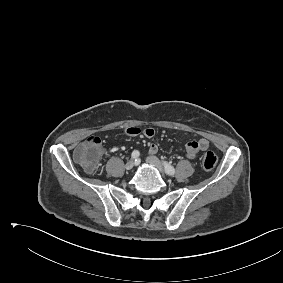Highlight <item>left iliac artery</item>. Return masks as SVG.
<instances>
[{
	"label": "left iliac artery",
	"instance_id": "left-iliac-artery-1",
	"mask_svg": "<svg viewBox=\"0 0 283 283\" xmlns=\"http://www.w3.org/2000/svg\"><path fill=\"white\" fill-rule=\"evenodd\" d=\"M164 168H165V172L168 175H174L175 174V169L173 166H171L170 164H168L167 162H163Z\"/></svg>",
	"mask_w": 283,
	"mask_h": 283
}]
</instances>
